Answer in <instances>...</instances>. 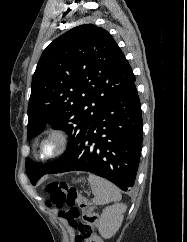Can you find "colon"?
Instances as JSON below:
<instances>
[{"instance_id":"1","label":"colon","mask_w":187,"mask_h":242,"mask_svg":"<svg viewBox=\"0 0 187 242\" xmlns=\"http://www.w3.org/2000/svg\"><path fill=\"white\" fill-rule=\"evenodd\" d=\"M46 191L49 195L50 206L67 208L60 210L59 214L75 229V242H102L95 236L99 215L94 212L91 202L75 187L65 182H52L46 186Z\"/></svg>"}]
</instances>
